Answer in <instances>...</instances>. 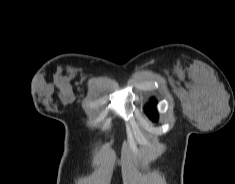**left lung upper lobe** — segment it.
<instances>
[{
    "mask_svg": "<svg viewBox=\"0 0 235 184\" xmlns=\"http://www.w3.org/2000/svg\"><path fill=\"white\" fill-rule=\"evenodd\" d=\"M157 102L155 99H151L148 106L145 108L146 114L153 120L157 121L158 120V114L157 111L155 110Z\"/></svg>",
    "mask_w": 235,
    "mask_h": 184,
    "instance_id": "5c2ea615",
    "label": "left lung upper lobe"
}]
</instances>
